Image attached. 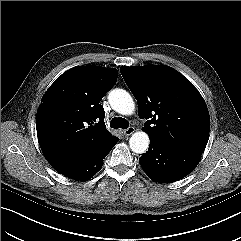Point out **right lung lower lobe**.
<instances>
[{
	"label": "right lung lower lobe",
	"mask_w": 241,
	"mask_h": 241,
	"mask_svg": "<svg viewBox=\"0 0 241 241\" xmlns=\"http://www.w3.org/2000/svg\"><path fill=\"white\" fill-rule=\"evenodd\" d=\"M118 140L119 138H117L109 147H107L94 157L90 158L89 160L65 169H61L58 172L75 180L85 181L87 179H90L100 170L103 159L111 151V149L118 142Z\"/></svg>",
	"instance_id": "98d812e1"
}]
</instances>
